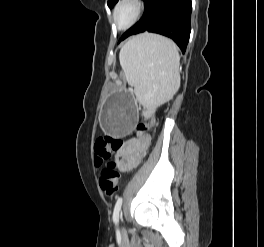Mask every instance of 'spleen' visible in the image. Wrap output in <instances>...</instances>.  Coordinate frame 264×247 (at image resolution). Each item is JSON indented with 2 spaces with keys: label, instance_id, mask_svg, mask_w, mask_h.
Segmentation results:
<instances>
[{
  "label": "spleen",
  "instance_id": "obj_1",
  "mask_svg": "<svg viewBox=\"0 0 264 247\" xmlns=\"http://www.w3.org/2000/svg\"><path fill=\"white\" fill-rule=\"evenodd\" d=\"M119 60L137 97L169 100L180 87V56L166 37L137 35L122 47Z\"/></svg>",
  "mask_w": 264,
  "mask_h": 247
}]
</instances>
